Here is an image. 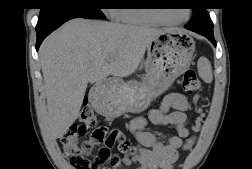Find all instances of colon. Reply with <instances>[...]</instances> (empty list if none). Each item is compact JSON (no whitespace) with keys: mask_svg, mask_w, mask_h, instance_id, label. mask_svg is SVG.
I'll use <instances>...</instances> for the list:
<instances>
[{"mask_svg":"<svg viewBox=\"0 0 252 169\" xmlns=\"http://www.w3.org/2000/svg\"><path fill=\"white\" fill-rule=\"evenodd\" d=\"M183 89L188 94L201 91L202 85L193 69H188L183 74ZM80 124L74 125L62 138L65 154L74 169H114L119 157L112 153L111 148L117 146L123 154L135 155L139 147L124 138L118 129L102 126L94 130L93 135L103 143V146L94 150L90 142L80 143L91 127L96 124V116L88 104L83 105L79 115Z\"/></svg>","mask_w":252,"mask_h":169,"instance_id":"5ec220e1","label":"colon"}]
</instances>
